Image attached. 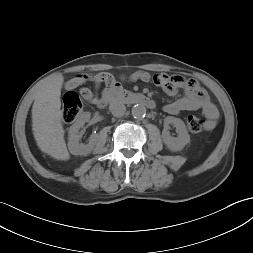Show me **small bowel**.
<instances>
[{
	"mask_svg": "<svg viewBox=\"0 0 253 253\" xmlns=\"http://www.w3.org/2000/svg\"><path fill=\"white\" fill-rule=\"evenodd\" d=\"M132 80L148 82L153 80L168 96H175L183 90L184 96L164 105L166 113L177 115L184 111L200 110L206 117V130H212L219 117V112L210 100L207 92L192 79H185L180 75H168L159 73L152 76L148 72L138 71L131 76ZM114 82V77L109 73H98L93 75L79 74L70 79L66 89L80 88L82 97L93 105L99 107L101 97L98 94L100 87L104 84L109 86ZM87 83L93 84V90L85 87Z\"/></svg>",
	"mask_w": 253,
	"mask_h": 253,
	"instance_id": "c3829d8e",
	"label": "small bowel"
}]
</instances>
